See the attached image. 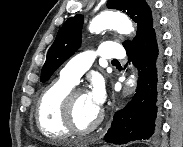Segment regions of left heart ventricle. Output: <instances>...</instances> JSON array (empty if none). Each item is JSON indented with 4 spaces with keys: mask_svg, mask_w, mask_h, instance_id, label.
Instances as JSON below:
<instances>
[{
    "mask_svg": "<svg viewBox=\"0 0 183 147\" xmlns=\"http://www.w3.org/2000/svg\"><path fill=\"white\" fill-rule=\"evenodd\" d=\"M99 108L92 102L88 94H80L74 102L73 116L79 128L90 126L99 113Z\"/></svg>",
    "mask_w": 183,
    "mask_h": 147,
    "instance_id": "left-heart-ventricle-1",
    "label": "left heart ventricle"
}]
</instances>
